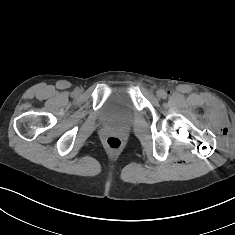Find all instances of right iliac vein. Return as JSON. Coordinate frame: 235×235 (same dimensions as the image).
I'll use <instances>...</instances> for the list:
<instances>
[{"instance_id": "right-iliac-vein-1", "label": "right iliac vein", "mask_w": 235, "mask_h": 235, "mask_svg": "<svg viewBox=\"0 0 235 235\" xmlns=\"http://www.w3.org/2000/svg\"><path fill=\"white\" fill-rule=\"evenodd\" d=\"M77 94L80 92V90L79 89H76V91H75Z\"/></svg>"}]
</instances>
